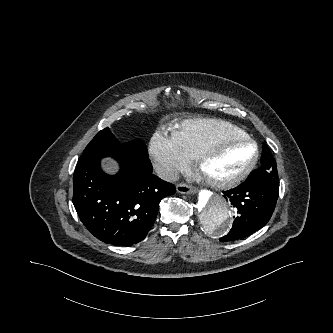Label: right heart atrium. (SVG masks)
Returning <instances> with one entry per match:
<instances>
[{"mask_svg": "<svg viewBox=\"0 0 333 333\" xmlns=\"http://www.w3.org/2000/svg\"><path fill=\"white\" fill-rule=\"evenodd\" d=\"M149 155L159 177L173 181L180 172L185 171L190 160L180 150L172 136L157 131L149 143Z\"/></svg>", "mask_w": 333, "mask_h": 333, "instance_id": "right-heart-atrium-1", "label": "right heart atrium"}]
</instances>
